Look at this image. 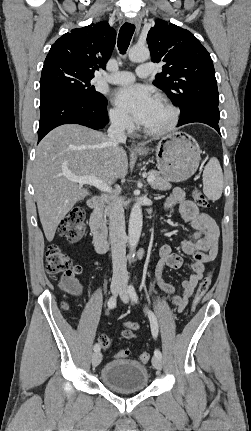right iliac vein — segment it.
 I'll use <instances>...</instances> for the list:
<instances>
[{"label": "right iliac vein", "mask_w": 251, "mask_h": 431, "mask_svg": "<svg viewBox=\"0 0 251 431\" xmlns=\"http://www.w3.org/2000/svg\"><path fill=\"white\" fill-rule=\"evenodd\" d=\"M121 290V284L118 282H113L111 284V292L114 296H116ZM102 360V354L100 351H97L92 356V365L97 367Z\"/></svg>", "instance_id": "right-iliac-vein-1"}]
</instances>
